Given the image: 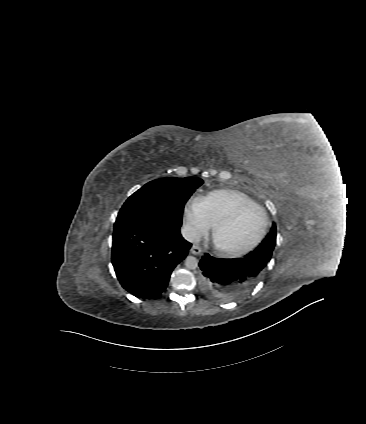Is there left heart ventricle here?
<instances>
[{
  "label": "left heart ventricle",
  "mask_w": 366,
  "mask_h": 424,
  "mask_svg": "<svg viewBox=\"0 0 366 424\" xmlns=\"http://www.w3.org/2000/svg\"><path fill=\"white\" fill-rule=\"evenodd\" d=\"M263 224L264 219L258 209H246L233 222L219 230L216 240L225 247H244L256 239L263 228Z\"/></svg>",
  "instance_id": "b2bd125f"
}]
</instances>
